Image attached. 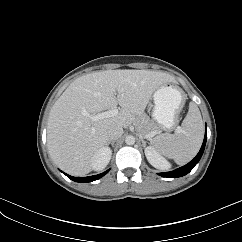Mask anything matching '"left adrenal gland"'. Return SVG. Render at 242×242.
<instances>
[{"label": "left adrenal gland", "mask_w": 242, "mask_h": 242, "mask_svg": "<svg viewBox=\"0 0 242 242\" xmlns=\"http://www.w3.org/2000/svg\"><path fill=\"white\" fill-rule=\"evenodd\" d=\"M140 139H141V141H142L143 147L145 148V146H146V141L143 139L142 136H140Z\"/></svg>", "instance_id": "a2214340"}]
</instances>
